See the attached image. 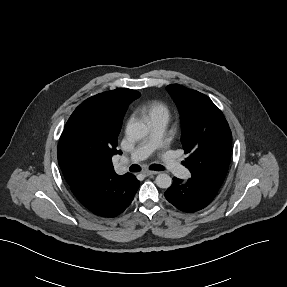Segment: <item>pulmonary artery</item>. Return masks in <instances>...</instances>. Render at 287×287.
Masks as SVG:
<instances>
[{
	"mask_svg": "<svg viewBox=\"0 0 287 287\" xmlns=\"http://www.w3.org/2000/svg\"><path fill=\"white\" fill-rule=\"evenodd\" d=\"M167 123L160 120H152L149 122V136L142 141L133 150L129 157L122 158L119 166L122 168L128 163H136L147 158L153 150L161 148L164 144V131ZM161 161L163 166L174 176L180 178H187L189 171L179 164V162L173 158L161 152Z\"/></svg>",
	"mask_w": 287,
	"mask_h": 287,
	"instance_id": "1",
	"label": "pulmonary artery"
}]
</instances>
